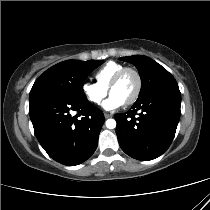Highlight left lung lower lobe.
<instances>
[{
    "instance_id": "0a47b994",
    "label": "left lung lower lobe",
    "mask_w": 210,
    "mask_h": 210,
    "mask_svg": "<svg viewBox=\"0 0 210 210\" xmlns=\"http://www.w3.org/2000/svg\"><path fill=\"white\" fill-rule=\"evenodd\" d=\"M180 105L179 88L167 87L138 99L128 112L115 114L122 150L142 161L162 155L174 138Z\"/></svg>"
}]
</instances>
